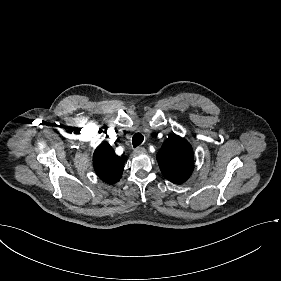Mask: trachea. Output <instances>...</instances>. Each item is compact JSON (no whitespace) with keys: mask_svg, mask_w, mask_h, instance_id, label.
Returning <instances> with one entry per match:
<instances>
[{"mask_svg":"<svg viewBox=\"0 0 281 281\" xmlns=\"http://www.w3.org/2000/svg\"><path fill=\"white\" fill-rule=\"evenodd\" d=\"M143 140H144V136L142 135V133L140 132L135 133L132 138L133 147L136 148L137 146L141 145Z\"/></svg>","mask_w":281,"mask_h":281,"instance_id":"obj_1","label":"trachea"}]
</instances>
